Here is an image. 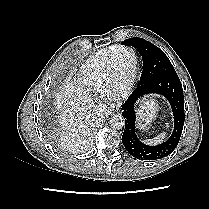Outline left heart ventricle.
<instances>
[{
  "label": "left heart ventricle",
  "instance_id": "1",
  "mask_svg": "<svg viewBox=\"0 0 209 209\" xmlns=\"http://www.w3.org/2000/svg\"><path fill=\"white\" fill-rule=\"evenodd\" d=\"M133 55L129 51H122L115 58L114 81L116 85L125 84L131 76Z\"/></svg>",
  "mask_w": 209,
  "mask_h": 209
}]
</instances>
